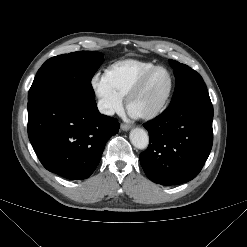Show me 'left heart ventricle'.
I'll use <instances>...</instances> for the list:
<instances>
[{
	"label": "left heart ventricle",
	"instance_id": "1",
	"mask_svg": "<svg viewBox=\"0 0 247 247\" xmlns=\"http://www.w3.org/2000/svg\"><path fill=\"white\" fill-rule=\"evenodd\" d=\"M168 87V74L164 70L156 71L143 93L133 102L132 110L136 113L147 111L164 97Z\"/></svg>",
	"mask_w": 247,
	"mask_h": 247
}]
</instances>
